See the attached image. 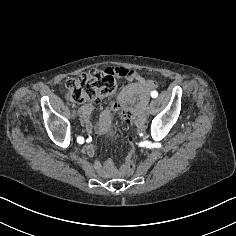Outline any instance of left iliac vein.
Instances as JSON below:
<instances>
[{"mask_svg":"<svg viewBox=\"0 0 236 236\" xmlns=\"http://www.w3.org/2000/svg\"><path fill=\"white\" fill-rule=\"evenodd\" d=\"M157 103L154 101L152 105H147V113H152V109L155 107Z\"/></svg>","mask_w":236,"mask_h":236,"instance_id":"4c4485c4","label":"left iliac vein"}]
</instances>
